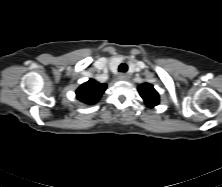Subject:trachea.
Returning <instances> with one entry per match:
<instances>
[{"instance_id": "obj_1", "label": "trachea", "mask_w": 222, "mask_h": 187, "mask_svg": "<svg viewBox=\"0 0 222 187\" xmlns=\"http://www.w3.org/2000/svg\"><path fill=\"white\" fill-rule=\"evenodd\" d=\"M119 72H126L128 70V66L125 63L120 64L119 66Z\"/></svg>"}]
</instances>
